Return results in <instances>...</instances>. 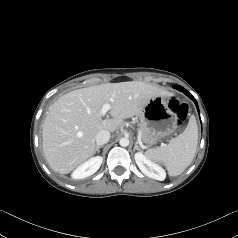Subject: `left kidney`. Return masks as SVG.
I'll use <instances>...</instances> for the list:
<instances>
[{
    "mask_svg": "<svg viewBox=\"0 0 238 238\" xmlns=\"http://www.w3.org/2000/svg\"><path fill=\"white\" fill-rule=\"evenodd\" d=\"M136 164L146 176L163 181L166 177L164 169L150 161L143 153L138 152L134 155Z\"/></svg>",
    "mask_w": 238,
    "mask_h": 238,
    "instance_id": "obj_1",
    "label": "left kidney"
}]
</instances>
